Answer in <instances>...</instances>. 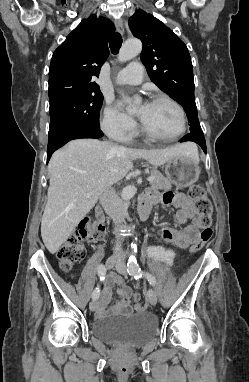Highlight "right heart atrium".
<instances>
[{
    "label": "right heart atrium",
    "mask_w": 249,
    "mask_h": 382,
    "mask_svg": "<svg viewBox=\"0 0 249 382\" xmlns=\"http://www.w3.org/2000/svg\"><path fill=\"white\" fill-rule=\"evenodd\" d=\"M101 127L109 136L128 141L135 135L137 125L132 118L108 103L103 112Z\"/></svg>",
    "instance_id": "obj_1"
}]
</instances>
